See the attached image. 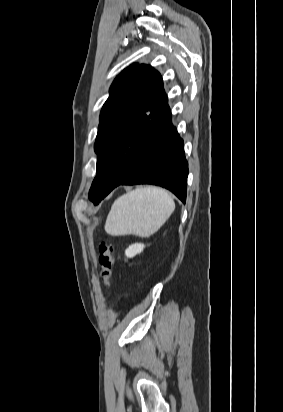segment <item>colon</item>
<instances>
[{"label":"colon","mask_w":283,"mask_h":412,"mask_svg":"<svg viewBox=\"0 0 283 412\" xmlns=\"http://www.w3.org/2000/svg\"><path fill=\"white\" fill-rule=\"evenodd\" d=\"M98 252V263L100 266L101 279L105 288H108L114 266L113 247L109 242L102 241L99 244Z\"/></svg>","instance_id":"obj_1"}]
</instances>
